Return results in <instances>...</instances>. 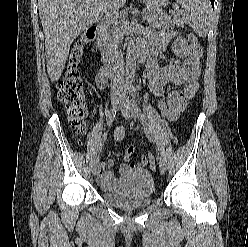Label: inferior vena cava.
I'll list each match as a JSON object with an SVG mask.
<instances>
[{"label":"inferior vena cava","mask_w":248,"mask_h":247,"mask_svg":"<svg viewBox=\"0 0 248 247\" xmlns=\"http://www.w3.org/2000/svg\"><path fill=\"white\" fill-rule=\"evenodd\" d=\"M120 6L118 0H107V7L105 10L106 20L108 24L112 25L114 28H117L121 24L122 17L119 13ZM122 52L118 50L115 54V59L121 63Z\"/></svg>","instance_id":"obj_1"}]
</instances>
